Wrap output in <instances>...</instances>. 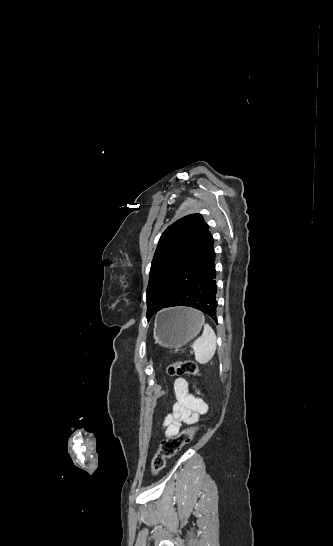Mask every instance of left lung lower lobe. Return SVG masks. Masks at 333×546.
<instances>
[{"label":"left lung lower lobe","instance_id":"obj_1","mask_svg":"<svg viewBox=\"0 0 333 546\" xmlns=\"http://www.w3.org/2000/svg\"><path fill=\"white\" fill-rule=\"evenodd\" d=\"M214 239L208 232L197 257L186 267L170 288L163 308L188 306L209 315L216 323L217 285L215 269ZM203 263V269L194 273V267Z\"/></svg>","mask_w":333,"mask_h":546}]
</instances>
